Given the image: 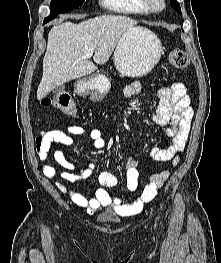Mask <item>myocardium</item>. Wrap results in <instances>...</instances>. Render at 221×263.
I'll use <instances>...</instances> for the list:
<instances>
[{"instance_id":"1","label":"myocardium","mask_w":221,"mask_h":263,"mask_svg":"<svg viewBox=\"0 0 221 263\" xmlns=\"http://www.w3.org/2000/svg\"><path fill=\"white\" fill-rule=\"evenodd\" d=\"M149 12L159 13L166 7V0H143Z\"/></svg>"}]
</instances>
